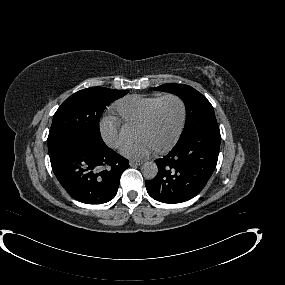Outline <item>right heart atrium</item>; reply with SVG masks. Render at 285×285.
I'll return each mask as SVG.
<instances>
[{
    "label": "right heart atrium",
    "mask_w": 285,
    "mask_h": 285,
    "mask_svg": "<svg viewBox=\"0 0 285 285\" xmlns=\"http://www.w3.org/2000/svg\"><path fill=\"white\" fill-rule=\"evenodd\" d=\"M100 133L104 142L112 148H120L126 137L118 119L114 116H105L100 123Z\"/></svg>",
    "instance_id": "d8ad5b80"
}]
</instances>
